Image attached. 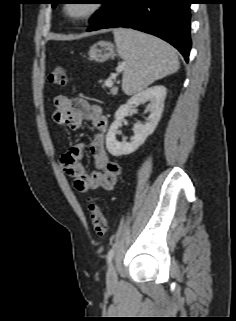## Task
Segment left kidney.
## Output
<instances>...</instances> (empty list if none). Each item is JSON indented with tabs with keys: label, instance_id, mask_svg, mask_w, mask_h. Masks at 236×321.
I'll return each mask as SVG.
<instances>
[{
	"label": "left kidney",
	"instance_id": "left-kidney-1",
	"mask_svg": "<svg viewBox=\"0 0 236 321\" xmlns=\"http://www.w3.org/2000/svg\"><path fill=\"white\" fill-rule=\"evenodd\" d=\"M166 88L164 86H153L131 97L126 104L121 105L115 113V120L111 124L106 135V148L113 156L128 155L141 146L146 138L152 134L160 121L166 98ZM152 101L150 115L145 124H136L133 128L134 137L130 142H118L116 133L121 123L130 110L143 102Z\"/></svg>",
	"mask_w": 236,
	"mask_h": 321
}]
</instances>
